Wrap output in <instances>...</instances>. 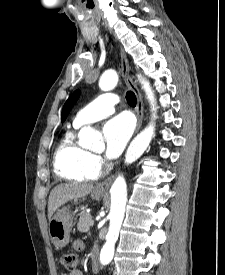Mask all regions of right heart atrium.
I'll return each mask as SVG.
<instances>
[{
    "label": "right heart atrium",
    "mask_w": 225,
    "mask_h": 275,
    "mask_svg": "<svg viewBox=\"0 0 225 275\" xmlns=\"http://www.w3.org/2000/svg\"><path fill=\"white\" fill-rule=\"evenodd\" d=\"M94 161L96 166L102 163V159L99 156H94Z\"/></svg>",
    "instance_id": "1"
}]
</instances>
